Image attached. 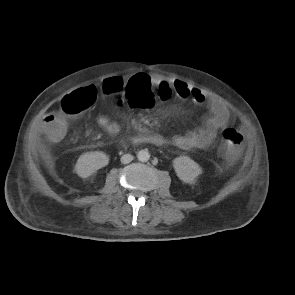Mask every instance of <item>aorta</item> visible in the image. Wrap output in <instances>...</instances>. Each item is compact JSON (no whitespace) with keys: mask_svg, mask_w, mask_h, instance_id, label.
Returning a JSON list of instances; mask_svg holds the SVG:
<instances>
[{"mask_svg":"<svg viewBox=\"0 0 295 295\" xmlns=\"http://www.w3.org/2000/svg\"><path fill=\"white\" fill-rule=\"evenodd\" d=\"M137 158L139 161L141 162H146L149 160L150 158V154L147 150H140L138 153H137Z\"/></svg>","mask_w":295,"mask_h":295,"instance_id":"obj_1","label":"aorta"}]
</instances>
